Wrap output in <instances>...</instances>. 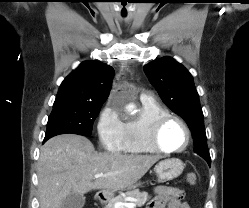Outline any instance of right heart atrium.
<instances>
[{
	"label": "right heart atrium",
	"instance_id": "right-heart-atrium-1",
	"mask_svg": "<svg viewBox=\"0 0 249 208\" xmlns=\"http://www.w3.org/2000/svg\"><path fill=\"white\" fill-rule=\"evenodd\" d=\"M124 125L118 108L113 104H108L101 111L97 132L103 148L107 151L122 152L124 142Z\"/></svg>",
	"mask_w": 249,
	"mask_h": 208
}]
</instances>
